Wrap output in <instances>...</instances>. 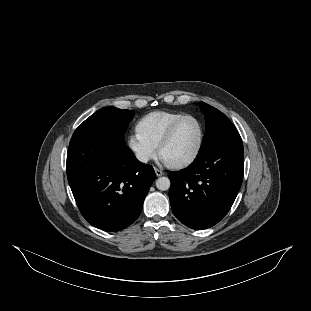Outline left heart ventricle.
<instances>
[{
	"instance_id": "left-heart-ventricle-1",
	"label": "left heart ventricle",
	"mask_w": 311,
	"mask_h": 311,
	"mask_svg": "<svg viewBox=\"0 0 311 311\" xmlns=\"http://www.w3.org/2000/svg\"><path fill=\"white\" fill-rule=\"evenodd\" d=\"M201 138V126L197 119L188 118L178 128L173 141L162 151L161 158L168 164L190 159L196 152Z\"/></svg>"
}]
</instances>
